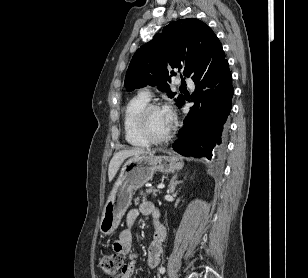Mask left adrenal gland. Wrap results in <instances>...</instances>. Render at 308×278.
I'll use <instances>...</instances> for the list:
<instances>
[{"label": "left adrenal gland", "mask_w": 308, "mask_h": 278, "mask_svg": "<svg viewBox=\"0 0 308 278\" xmlns=\"http://www.w3.org/2000/svg\"><path fill=\"white\" fill-rule=\"evenodd\" d=\"M176 178H177V175H174L171 178L170 184L168 186V193H173L175 191L176 186L183 182V181H176Z\"/></svg>", "instance_id": "a2214340"}]
</instances>
